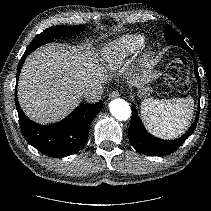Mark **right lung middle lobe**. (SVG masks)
I'll list each match as a JSON object with an SVG mask.
<instances>
[{"label":"right lung middle lobe","mask_w":211,"mask_h":211,"mask_svg":"<svg viewBox=\"0 0 211 211\" xmlns=\"http://www.w3.org/2000/svg\"><path fill=\"white\" fill-rule=\"evenodd\" d=\"M84 26H65V25H57L50 27L44 30L42 33L37 35L34 40L30 43L27 47V53H31L36 48L40 47L41 45L52 41L58 37L75 35L82 30H84Z\"/></svg>","instance_id":"1"}]
</instances>
